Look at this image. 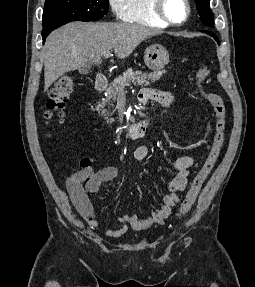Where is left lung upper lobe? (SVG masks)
<instances>
[{"label":"left lung upper lobe","mask_w":255,"mask_h":287,"mask_svg":"<svg viewBox=\"0 0 255 287\" xmlns=\"http://www.w3.org/2000/svg\"><path fill=\"white\" fill-rule=\"evenodd\" d=\"M197 4L198 14L200 15V20L207 24L208 26L214 28V15L210 9V0H195Z\"/></svg>","instance_id":"obj_1"}]
</instances>
